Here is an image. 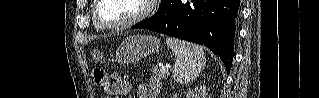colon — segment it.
Returning <instances> with one entry per match:
<instances>
[{"label":"colon","instance_id":"obj_1","mask_svg":"<svg viewBox=\"0 0 319 98\" xmlns=\"http://www.w3.org/2000/svg\"><path fill=\"white\" fill-rule=\"evenodd\" d=\"M91 57L95 62H100L102 58L101 51L97 48H93L91 50ZM93 79L98 86L103 87L105 85L106 74L99 66L93 69Z\"/></svg>","mask_w":319,"mask_h":98}]
</instances>
